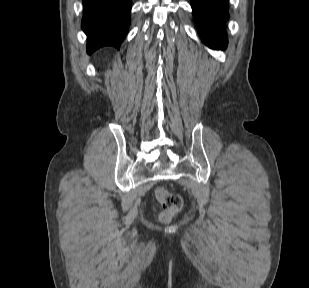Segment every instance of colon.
<instances>
[{
    "mask_svg": "<svg viewBox=\"0 0 309 288\" xmlns=\"http://www.w3.org/2000/svg\"><path fill=\"white\" fill-rule=\"evenodd\" d=\"M155 197L162 204L163 212L160 214V220L167 222L170 218L182 208V198L179 194L169 192L163 187L155 189Z\"/></svg>",
    "mask_w": 309,
    "mask_h": 288,
    "instance_id": "obj_1",
    "label": "colon"
}]
</instances>
